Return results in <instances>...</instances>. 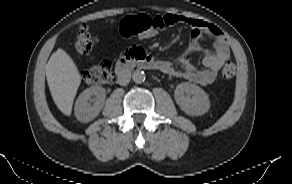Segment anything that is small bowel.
<instances>
[{"instance_id": "1", "label": "small bowel", "mask_w": 292, "mask_h": 184, "mask_svg": "<svg viewBox=\"0 0 292 184\" xmlns=\"http://www.w3.org/2000/svg\"><path fill=\"white\" fill-rule=\"evenodd\" d=\"M155 18L162 29L177 24L186 25L191 29L189 45L178 61L181 70H177L171 63L166 62L168 66L166 72L199 85L211 84L216 79L221 67L231 59L230 48L222 31L203 20L179 14L170 13ZM204 34L214 39L212 50L203 49L200 40ZM198 52L203 54V68L195 67L189 59L192 53Z\"/></svg>"}]
</instances>
